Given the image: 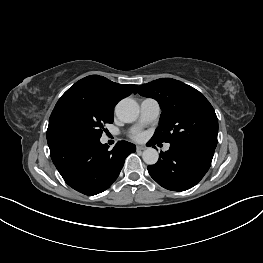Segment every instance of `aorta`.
<instances>
[{
	"label": "aorta",
	"mask_w": 263,
	"mask_h": 263,
	"mask_svg": "<svg viewBox=\"0 0 263 263\" xmlns=\"http://www.w3.org/2000/svg\"><path fill=\"white\" fill-rule=\"evenodd\" d=\"M115 112L121 121L131 123L135 121L139 115V106L133 99L125 98L118 102ZM142 158L146 164L154 165L158 161L159 154L154 148H147L143 151Z\"/></svg>",
	"instance_id": "aorta-1"
}]
</instances>
